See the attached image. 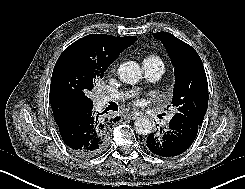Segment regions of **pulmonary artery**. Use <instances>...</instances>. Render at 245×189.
Masks as SVG:
<instances>
[{
  "mask_svg": "<svg viewBox=\"0 0 245 189\" xmlns=\"http://www.w3.org/2000/svg\"><path fill=\"white\" fill-rule=\"evenodd\" d=\"M143 70L145 73V76L150 81H156L158 80L162 74L164 73V65L161 63H143ZM127 94L125 93H115L106 95L102 98L101 104L102 106H105L109 101H115V100H121L125 98Z\"/></svg>",
  "mask_w": 245,
  "mask_h": 189,
  "instance_id": "pulmonary-artery-1",
  "label": "pulmonary artery"
}]
</instances>
